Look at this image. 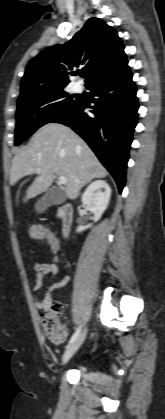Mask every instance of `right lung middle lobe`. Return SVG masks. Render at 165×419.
<instances>
[{
	"label": "right lung middle lobe",
	"instance_id": "1",
	"mask_svg": "<svg viewBox=\"0 0 165 419\" xmlns=\"http://www.w3.org/2000/svg\"><path fill=\"white\" fill-rule=\"evenodd\" d=\"M80 99L70 97L65 89L42 92L18 101L15 146L21 144L42 125L71 111Z\"/></svg>",
	"mask_w": 165,
	"mask_h": 419
}]
</instances>
